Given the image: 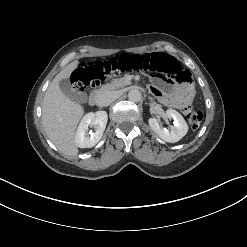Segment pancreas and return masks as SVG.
<instances>
[{"label":"pancreas","mask_w":247,"mask_h":247,"mask_svg":"<svg viewBox=\"0 0 247 247\" xmlns=\"http://www.w3.org/2000/svg\"><path fill=\"white\" fill-rule=\"evenodd\" d=\"M130 82L127 81L125 78H119V79H114L111 83H108L104 86H102L100 89H99V94L100 93H103L105 91H108V90H113V89H119V88H122L126 85H129Z\"/></svg>","instance_id":"1"}]
</instances>
